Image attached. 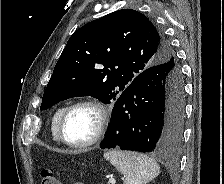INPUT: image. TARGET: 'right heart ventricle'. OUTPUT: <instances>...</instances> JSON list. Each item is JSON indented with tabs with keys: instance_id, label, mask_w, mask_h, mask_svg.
<instances>
[{
	"instance_id": "1",
	"label": "right heart ventricle",
	"mask_w": 224,
	"mask_h": 184,
	"mask_svg": "<svg viewBox=\"0 0 224 184\" xmlns=\"http://www.w3.org/2000/svg\"><path fill=\"white\" fill-rule=\"evenodd\" d=\"M64 109L65 107H59L58 109H56L51 118V126H50L51 134L54 141L56 142L60 141L58 136V123Z\"/></svg>"
}]
</instances>
